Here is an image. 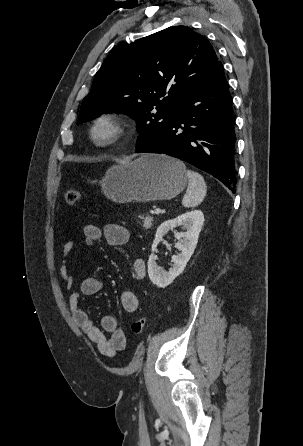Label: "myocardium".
<instances>
[{
    "label": "myocardium",
    "instance_id": "1",
    "mask_svg": "<svg viewBox=\"0 0 303 446\" xmlns=\"http://www.w3.org/2000/svg\"><path fill=\"white\" fill-rule=\"evenodd\" d=\"M106 129L104 137H98L97 131ZM127 133V125L122 117L115 112H103L97 115L91 122L88 136L91 143L99 148L110 147L120 142Z\"/></svg>",
    "mask_w": 303,
    "mask_h": 446
}]
</instances>
